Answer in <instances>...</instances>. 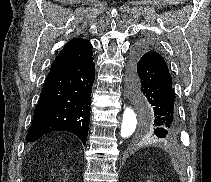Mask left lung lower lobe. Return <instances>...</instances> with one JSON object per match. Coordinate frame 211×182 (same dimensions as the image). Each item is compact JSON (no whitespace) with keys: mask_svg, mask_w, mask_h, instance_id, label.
Instances as JSON below:
<instances>
[{"mask_svg":"<svg viewBox=\"0 0 211 182\" xmlns=\"http://www.w3.org/2000/svg\"><path fill=\"white\" fill-rule=\"evenodd\" d=\"M128 91L139 105L149 104L152 112L148 136L173 140L180 129L172 76L161 52L149 41L132 50L127 77Z\"/></svg>","mask_w":211,"mask_h":182,"instance_id":"0a47b994","label":"left lung lower lobe"}]
</instances>
